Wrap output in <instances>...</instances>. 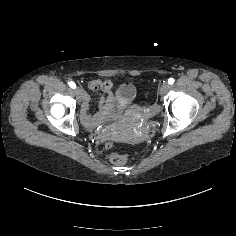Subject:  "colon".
Instances as JSON below:
<instances>
[{
    "label": "colon",
    "mask_w": 236,
    "mask_h": 236,
    "mask_svg": "<svg viewBox=\"0 0 236 236\" xmlns=\"http://www.w3.org/2000/svg\"><path fill=\"white\" fill-rule=\"evenodd\" d=\"M108 147H110V144L107 145ZM111 161L115 164V165H123L126 163L127 158L126 156L122 155V154H112L111 155Z\"/></svg>",
    "instance_id": "5ec220e1"
}]
</instances>
